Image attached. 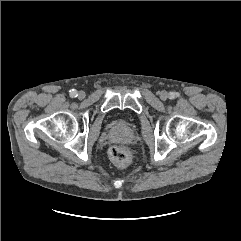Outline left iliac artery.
Masks as SVG:
<instances>
[{
	"mask_svg": "<svg viewBox=\"0 0 241 241\" xmlns=\"http://www.w3.org/2000/svg\"><path fill=\"white\" fill-rule=\"evenodd\" d=\"M176 96H177V93H175V92H171V93L169 94V98H170V99H174Z\"/></svg>",
	"mask_w": 241,
	"mask_h": 241,
	"instance_id": "left-iliac-artery-1",
	"label": "left iliac artery"
}]
</instances>
